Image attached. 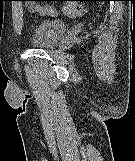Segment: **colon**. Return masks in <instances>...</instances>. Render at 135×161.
<instances>
[{"label":"colon","instance_id":"colon-1","mask_svg":"<svg viewBox=\"0 0 135 161\" xmlns=\"http://www.w3.org/2000/svg\"><path fill=\"white\" fill-rule=\"evenodd\" d=\"M63 1L62 12L68 17L82 16L86 12V7L74 0H54Z\"/></svg>","mask_w":135,"mask_h":161}]
</instances>
